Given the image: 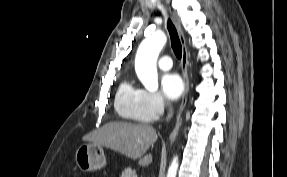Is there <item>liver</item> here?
Listing matches in <instances>:
<instances>
[{
  "label": "liver",
  "instance_id": "liver-1",
  "mask_svg": "<svg viewBox=\"0 0 287 177\" xmlns=\"http://www.w3.org/2000/svg\"><path fill=\"white\" fill-rule=\"evenodd\" d=\"M158 136L148 124L113 121L83 137V141L104 146L131 159H139L140 166H148L152 155H144Z\"/></svg>",
  "mask_w": 287,
  "mask_h": 177
}]
</instances>
